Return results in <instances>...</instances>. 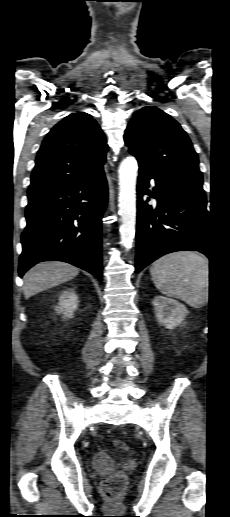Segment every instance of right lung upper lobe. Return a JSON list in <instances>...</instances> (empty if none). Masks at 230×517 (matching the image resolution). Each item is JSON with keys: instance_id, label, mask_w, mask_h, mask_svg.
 <instances>
[{"instance_id": "right-lung-upper-lobe-1", "label": "right lung upper lobe", "mask_w": 230, "mask_h": 517, "mask_svg": "<svg viewBox=\"0 0 230 517\" xmlns=\"http://www.w3.org/2000/svg\"><path fill=\"white\" fill-rule=\"evenodd\" d=\"M108 146L103 131L87 113H72L42 142L28 194L77 183L103 170Z\"/></svg>"}]
</instances>
